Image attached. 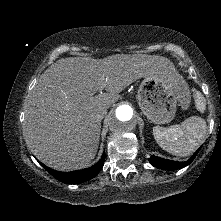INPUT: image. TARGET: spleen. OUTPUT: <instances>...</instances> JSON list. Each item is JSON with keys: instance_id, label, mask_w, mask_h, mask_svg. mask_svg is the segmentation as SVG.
Instances as JSON below:
<instances>
[{"instance_id": "obj_1", "label": "spleen", "mask_w": 221, "mask_h": 221, "mask_svg": "<svg viewBox=\"0 0 221 221\" xmlns=\"http://www.w3.org/2000/svg\"><path fill=\"white\" fill-rule=\"evenodd\" d=\"M196 108L200 112L206 109V101L199 91L193 94ZM206 121L197 116H192L178 125L168 128L153 127V135L157 143L165 151L177 155L188 156L201 144L206 133Z\"/></svg>"}]
</instances>
